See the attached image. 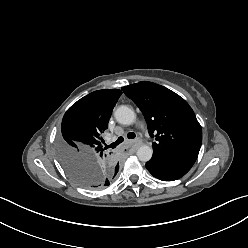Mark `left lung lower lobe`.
I'll list each match as a JSON object with an SVG mask.
<instances>
[{
  "mask_svg": "<svg viewBox=\"0 0 248 248\" xmlns=\"http://www.w3.org/2000/svg\"><path fill=\"white\" fill-rule=\"evenodd\" d=\"M197 156L186 154L160 157L153 154L145 166L154 177L163 181H174L184 176L191 169Z\"/></svg>",
  "mask_w": 248,
  "mask_h": 248,
  "instance_id": "obj_1",
  "label": "left lung lower lobe"
}]
</instances>
